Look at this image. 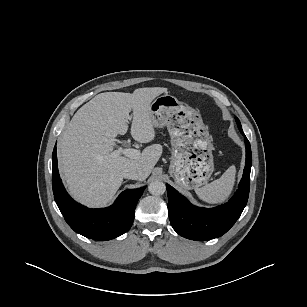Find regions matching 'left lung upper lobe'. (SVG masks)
<instances>
[{
	"label": "left lung upper lobe",
	"instance_id": "5c2ea615",
	"mask_svg": "<svg viewBox=\"0 0 307 307\" xmlns=\"http://www.w3.org/2000/svg\"><path fill=\"white\" fill-rule=\"evenodd\" d=\"M236 122H237L238 128H239V130H240V132H241V131H242V127H241V123H240V121H239L238 118H236ZM242 132H243V131H242Z\"/></svg>",
	"mask_w": 307,
	"mask_h": 307
}]
</instances>
